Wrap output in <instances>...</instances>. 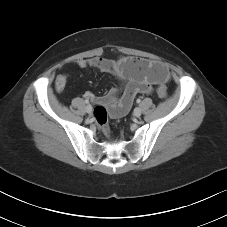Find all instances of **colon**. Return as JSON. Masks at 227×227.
<instances>
[{"label": "colon", "instance_id": "obj_1", "mask_svg": "<svg viewBox=\"0 0 227 227\" xmlns=\"http://www.w3.org/2000/svg\"><path fill=\"white\" fill-rule=\"evenodd\" d=\"M155 67L163 74H168V70L160 63H156ZM158 96L165 99L168 96L167 87L165 85H160L157 89ZM93 117L95 122L99 125L101 131L104 135L109 136L110 130L108 126V114L104 106L98 105L95 107L93 112Z\"/></svg>", "mask_w": 227, "mask_h": 227}]
</instances>
